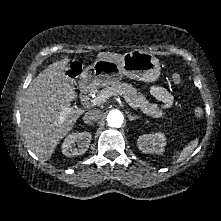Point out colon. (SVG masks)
Instances as JSON below:
<instances>
[{"label": "colon", "instance_id": "obj_1", "mask_svg": "<svg viewBox=\"0 0 221 221\" xmlns=\"http://www.w3.org/2000/svg\"><path fill=\"white\" fill-rule=\"evenodd\" d=\"M80 71V67L77 64H73L70 68V74L71 76H76ZM172 81L176 84H179L181 82V76L177 73L172 75ZM194 115L197 118H201L204 115V111L201 107H196L194 109Z\"/></svg>", "mask_w": 221, "mask_h": 221}]
</instances>
